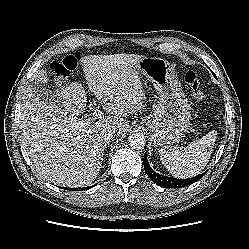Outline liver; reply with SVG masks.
<instances>
[{
    "instance_id": "obj_1",
    "label": "liver",
    "mask_w": 249,
    "mask_h": 249,
    "mask_svg": "<svg viewBox=\"0 0 249 249\" xmlns=\"http://www.w3.org/2000/svg\"><path fill=\"white\" fill-rule=\"evenodd\" d=\"M144 55H89L81 62L89 90L112 116L99 120L77 116L86 108V93L81 84L56 90L62 106L46 103L28 87L20 105L22 141L37 172L46 180L67 187L91 184L101 168L109 143L104 132L116 129L122 135L129 129L123 117L145 106L146 96L134 66ZM34 82L47 83V71L39 70ZM63 107V108H62Z\"/></svg>"
}]
</instances>
